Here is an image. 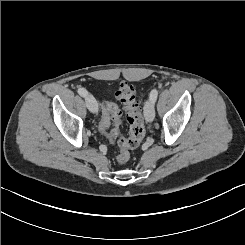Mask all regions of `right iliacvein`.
I'll use <instances>...</instances> for the list:
<instances>
[{
	"label": "right iliac vein",
	"instance_id": "right-iliac-vein-1",
	"mask_svg": "<svg viewBox=\"0 0 245 245\" xmlns=\"http://www.w3.org/2000/svg\"><path fill=\"white\" fill-rule=\"evenodd\" d=\"M85 102L86 105L88 107V109L92 112V113H97L98 112V104L96 99L94 98V96L92 94H87L85 96Z\"/></svg>",
	"mask_w": 245,
	"mask_h": 245
}]
</instances>
